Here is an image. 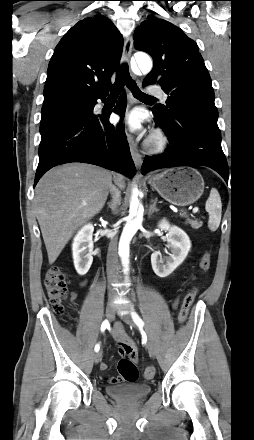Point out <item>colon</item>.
<instances>
[{
    "label": "colon",
    "instance_id": "obj_1",
    "mask_svg": "<svg viewBox=\"0 0 254 440\" xmlns=\"http://www.w3.org/2000/svg\"><path fill=\"white\" fill-rule=\"evenodd\" d=\"M200 270L202 272H207L211 267V254L206 252L200 261ZM67 276L65 272L59 266H52L48 269L44 278V286L47 293V296L53 306V309L56 313H63L64 307L63 302L67 298ZM196 296V288H192L189 290L182 301L180 313H179V321L181 323L185 322L191 305L194 302ZM118 371L123 381L134 383L139 378V371L133 361L130 358L120 359L118 362ZM154 369L151 367H147L144 371V377L146 379H152L154 377Z\"/></svg>",
    "mask_w": 254,
    "mask_h": 440
}]
</instances>
